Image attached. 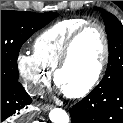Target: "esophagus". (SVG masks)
<instances>
[{
    "instance_id": "esophagus-1",
    "label": "esophagus",
    "mask_w": 123,
    "mask_h": 123,
    "mask_svg": "<svg viewBox=\"0 0 123 123\" xmlns=\"http://www.w3.org/2000/svg\"><path fill=\"white\" fill-rule=\"evenodd\" d=\"M52 105H49V104H43L42 106H41V109L43 110V111H49L50 109H52Z\"/></svg>"
}]
</instances>
